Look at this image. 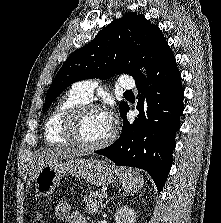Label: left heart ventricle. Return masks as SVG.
I'll return each instance as SVG.
<instances>
[{"label": "left heart ventricle", "instance_id": "1", "mask_svg": "<svg viewBox=\"0 0 221 223\" xmlns=\"http://www.w3.org/2000/svg\"><path fill=\"white\" fill-rule=\"evenodd\" d=\"M111 131V126L107 123L101 111H88L85 113L77 126V138L88 144L98 143L104 140Z\"/></svg>", "mask_w": 221, "mask_h": 223}]
</instances>
